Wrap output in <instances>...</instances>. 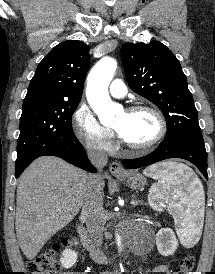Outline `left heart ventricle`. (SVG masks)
I'll return each mask as SVG.
<instances>
[{
  "instance_id": "obj_1",
  "label": "left heart ventricle",
  "mask_w": 215,
  "mask_h": 274,
  "mask_svg": "<svg viewBox=\"0 0 215 274\" xmlns=\"http://www.w3.org/2000/svg\"><path fill=\"white\" fill-rule=\"evenodd\" d=\"M113 127L125 141L132 144H144L158 132L156 118L147 111H124L116 118Z\"/></svg>"
}]
</instances>
